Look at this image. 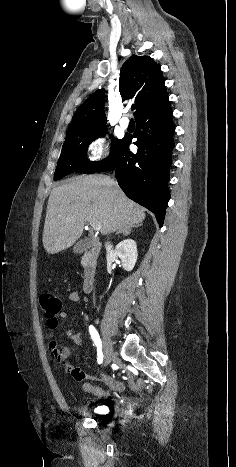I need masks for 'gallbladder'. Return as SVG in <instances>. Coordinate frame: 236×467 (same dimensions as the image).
<instances>
[{"instance_id": "obj_1", "label": "gallbladder", "mask_w": 236, "mask_h": 467, "mask_svg": "<svg viewBox=\"0 0 236 467\" xmlns=\"http://www.w3.org/2000/svg\"><path fill=\"white\" fill-rule=\"evenodd\" d=\"M89 246V241L87 239H84V240H80L79 242H77L73 248V252L74 253H83L84 251L87 250Z\"/></svg>"}]
</instances>
